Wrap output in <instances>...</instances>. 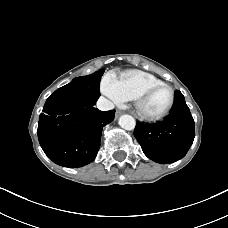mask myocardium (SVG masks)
Listing matches in <instances>:
<instances>
[{"label": "myocardium", "mask_w": 228, "mask_h": 228, "mask_svg": "<svg viewBox=\"0 0 228 228\" xmlns=\"http://www.w3.org/2000/svg\"><path fill=\"white\" fill-rule=\"evenodd\" d=\"M160 87H166L170 90V101L168 105L159 113L152 114V113L146 112L143 108L146 98L149 96L151 92H153L154 90ZM174 102H175L174 89L169 84L161 82V83L152 84L146 87L135 99V106H136L137 113L141 118L154 121L165 117L172 109Z\"/></svg>", "instance_id": "obj_1"}]
</instances>
